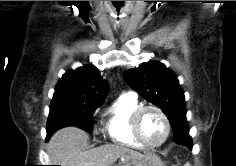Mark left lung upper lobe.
Returning a JSON list of instances; mask_svg holds the SVG:
<instances>
[{
    "mask_svg": "<svg viewBox=\"0 0 236 166\" xmlns=\"http://www.w3.org/2000/svg\"><path fill=\"white\" fill-rule=\"evenodd\" d=\"M123 75L144 99L162 109L170 123L179 120L187 124L184 92L177 76L164 64L149 61Z\"/></svg>",
    "mask_w": 236,
    "mask_h": 166,
    "instance_id": "5c2ea615",
    "label": "left lung upper lobe"
}]
</instances>
